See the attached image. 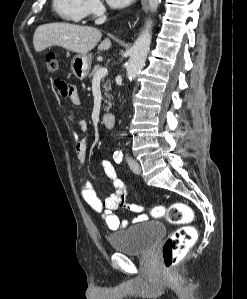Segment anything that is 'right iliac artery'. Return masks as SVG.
Returning <instances> with one entry per match:
<instances>
[{"instance_id":"obj_1","label":"right iliac artery","mask_w":247,"mask_h":299,"mask_svg":"<svg viewBox=\"0 0 247 299\" xmlns=\"http://www.w3.org/2000/svg\"><path fill=\"white\" fill-rule=\"evenodd\" d=\"M122 153H114L113 158L115 160L116 163H120L122 161Z\"/></svg>"}]
</instances>
